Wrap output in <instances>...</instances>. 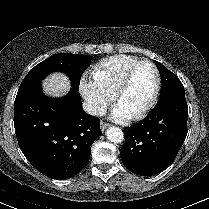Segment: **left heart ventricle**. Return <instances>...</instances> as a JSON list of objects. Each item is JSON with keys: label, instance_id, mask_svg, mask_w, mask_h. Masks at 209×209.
I'll return each instance as SVG.
<instances>
[{"label": "left heart ventricle", "instance_id": "left-heart-ventricle-1", "mask_svg": "<svg viewBox=\"0 0 209 209\" xmlns=\"http://www.w3.org/2000/svg\"><path fill=\"white\" fill-rule=\"evenodd\" d=\"M155 86V75L148 64L140 65L130 85L121 95L118 104L132 115L142 109L150 100Z\"/></svg>", "mask_w": 209, "mask_h": 209}]
</instances>
